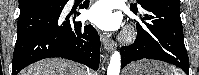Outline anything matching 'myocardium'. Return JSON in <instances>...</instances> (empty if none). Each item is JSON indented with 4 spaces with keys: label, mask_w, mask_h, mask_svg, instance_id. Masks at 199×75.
<instances>
[{
    "label": "myocardium",
    "mask_w": 199,
    "mask_h": 75,
    "mask_svg": "<svg viewBox=\"0 0 199 75\" xmlns=\"http://www.w3.org/2000/svg\"><path fill=\"white\" fill-rule=\"evenodd\" d=\"M133 37H134L133 32L131 30H128V31L125 32L123 39L125 41H131L133 39Z\"/></svg>",
    "instance_id": "obj_1"
}]
</instances>
